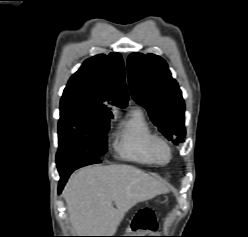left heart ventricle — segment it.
<instances>
[{
    "instance_id": "left-heart-ventricle-1",
    "label": "left heart ventricle",
    "mask_w": 248,
    "mask_h": 237,
    "mask_svg": "<svg viewBox=\"0 0 248 237\" xmlns=\"http://www.w3.org/2000/svg\"><path fill=\"white\" fill-rule=\"evenodd\" d=\"M156 155L159 159L161 160H166L167 159V151L166 149L161 146V145H157L156 146Z\"/></svg>"
}]
</instances>
